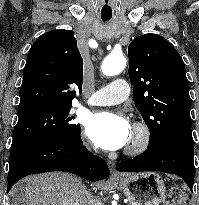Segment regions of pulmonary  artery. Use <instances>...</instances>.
Listing matches in <instances>:
<instances>
[{
	"label": "pulmonary artery",
	"mask_w": 199,
	"mask_h": 205,
	"mask_svg": "<svg viewBox=\"0 0 199 205\" xmlns=\"http://www.w3.org/2000/svg\"><path fill=\"white\" fill-rule=\"evenodd\" d=\"M130 84L122 78L115 79L88 99V105H115L126 100L130 94Z\"/></svg>",
	"instance_id": "e3ab8cb5"
}]
</instances>
